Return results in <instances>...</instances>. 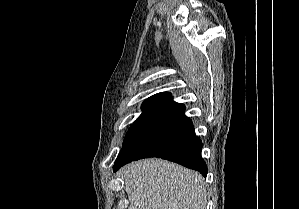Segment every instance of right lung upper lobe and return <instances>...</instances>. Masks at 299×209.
Here are the masks:
<instances>
[{"label":"right lung upper lobe","mask_w":299,"mask_h":209,"mask_svg":"<svg viewBox=\"0 0 299 209\" xmlns=\"http://www.w3.org/2000/svg\"><path fill=\"white\" fill-rule=\"evenodd\" d=\"M171 98V94L169 92H163L155 94L148 99H146L143 104H152V105H160Z\"/></svg>","instance_id":"cb5924a9"}]
</instances>
